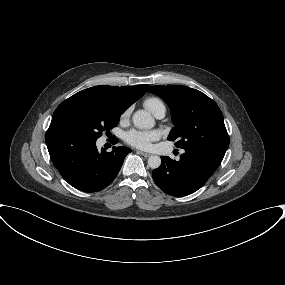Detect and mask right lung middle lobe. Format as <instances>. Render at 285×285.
<instances>
[{"label":"right lung middle lobe","instance_id":"right-lung-middle-lobe-1","mask_svg":"<svg viewBox=\"0 0 285 285\" xmlns=\"http://www.w3.org/2000/svg\"><path fill=\"white\" fill-rule=\"evenodd\" d=\"M123 112L101 102L64 101L55 110L52 123L70 126L97 140L102 132L110 133Z\"/></svg>","mask_w":285,"mask_h":285}]
</instances>
